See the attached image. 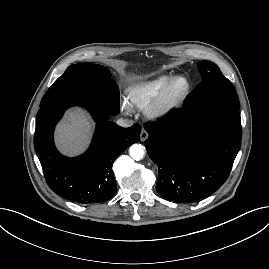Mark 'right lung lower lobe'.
Instances as JSON below:
<instances>
[{"instance_id":"right-lung-lower-lobe-1","label":"right lung lower lobe","mask_w":269,"mask_h":269,"mask_svg":"<svg viewBox=\"0 0 269 269\" xmlns=\"http://www.w3.org/2000/svg\"><path fill=\"white\" fill-rule=\"evenodd\" d=\"M83 105L93 116L96 130L89 149L68 158L55 148L53 132L64 111ZM106 110L75 100H58L40 107L36 117L34 147L48 186L73 202L88 204L111 199L116 192L112 163L129 145L139 141L141 126L122 128L109 121Z\"/></svg>"}]
</instances>
